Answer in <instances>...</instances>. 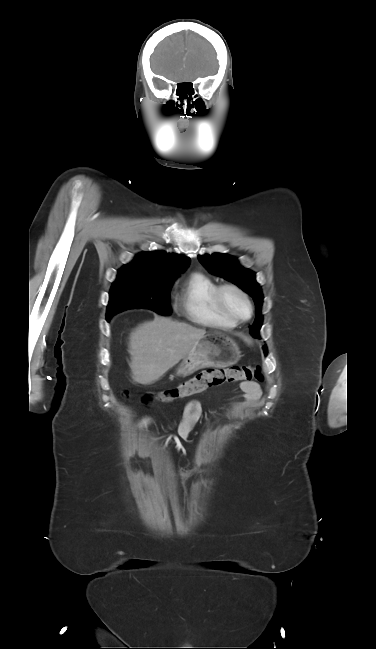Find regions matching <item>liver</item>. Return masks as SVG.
Instances as JSON below:
<instances>
[{"label":"liver","mask_w":376,"mask_h":649,"mask_svg":"<svg viewBox=\"0 0 376 649\" xmlns=\"http://www.w3.org/2000/svg\"><path fill=\"white\" fill-rule=\"evenodd\" d=\"M205 334V329L161 316L139 325L129 338L133 382L142 385L156 382Z\"/></svg>","instance_id":"liver-1"}]
</instances>
